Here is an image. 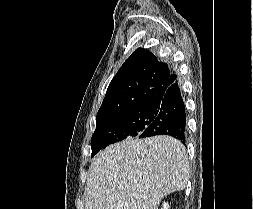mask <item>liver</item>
<instances>
[{
  "label": "liver",
  "instance_id": "6515ba94",
  "mask_svg": "<svg viewBox=\"0 0 253 209\" xmlns=\"http://www.w3.org/2000/svg\"><path fill=\"white\" fill-rule=\"evenodd\" d=\"M189 173L179 140L166 135L126 139L93 158L85 209H158L162 198L186 187Z\"/></svg>",
  "mask_w": 253,
  "mask_h": 209
}]
</instances>
